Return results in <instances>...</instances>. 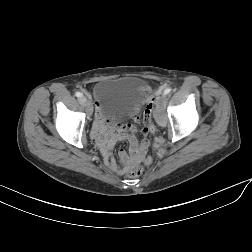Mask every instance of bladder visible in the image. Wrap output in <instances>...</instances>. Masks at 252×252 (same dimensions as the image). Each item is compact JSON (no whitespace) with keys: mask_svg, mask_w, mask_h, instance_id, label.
Here are the masks:
<instances>
[{"mask_svg":"<svg viewBox=\"0 0 252 252\" xmlns=\"http://www.w3.org/2000/svg\"><path fill=\"white\" fill-rule=\"evenodd\" d=\"M96 96L104 117H114V112L127 114L145 97L140 80L132 77L108 79L98 83Z\"/></svg>","mask_w":252,"mask_h":252,"instance_id":"31cf9c89","label":"bladder"}]
</instances>
